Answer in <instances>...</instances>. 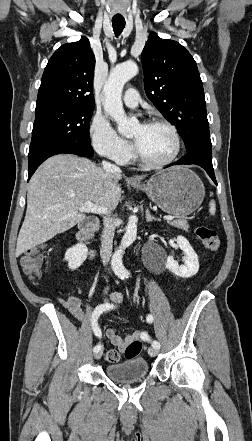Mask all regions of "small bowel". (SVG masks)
I'll use <instances>...</instances> for the list:
<instances>
[{"mask_svg":"<svg viewBox=\"0 0 252 441\" xmlns=\"http://www.w3.org/2000/svg\"><path fill=\"white\" fill-rule=\"evenodd\" d=\"M104 295L105 297H108L114 304L122 305L124 302L123 295L117 291H110L108 288H106L104 290ZM60 303L71 313V315L75 319H77L78 321L84 320V310L81 299L76 296H68L65 299H61ZM105 336L114 347H116L120 352L124 353L127 346L131 342L140 339V332L135 331L127 335L126 337H121L120 335H118L115 329L108 328L105 331Z\"/></svg>","mask_w":252,"mask_h":441,"instance_id":"1","label":"small bowel"}]
</instances>
